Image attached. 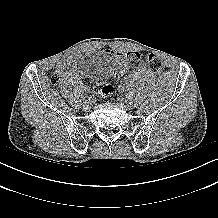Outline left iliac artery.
Here are the masks:
<instances>
[{"label":"left iliac artery","mask_w":218,"mask_h":218,"mask_svg":"<svg viewBox=\"0 0 218 218\" xmlns=\"http://www.w3.org/2000/svg\"><path fill=\"white\" fill-rule=\"evenodd\" d=\"M127 96V98L130 100L132 99V94H129L128 92L125 94Z\"/></svg>","instance_id":"1"}]
</instances>
